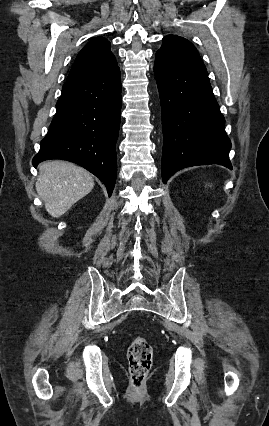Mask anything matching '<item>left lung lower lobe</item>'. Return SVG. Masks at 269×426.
<instances>
[{
  "instance_id": "left-lung-lower-lobe-1",
  "label": "left lung lower lobe",
  "mask_w": 269,
  "mask_h": 426,
  "mask_svg": "<svg viewBox=\"0 0 269 426\" xmlns=\"http://www.w3.org/2000/svg\"><path fill=\"white\" fill-rule=\"evenodd\" d=\"M163 126L162 179L180 169L220 164L232 169L231 141L206 67L194 45L165 36L155 54Z\"/></svg>"
}]
</instances>
